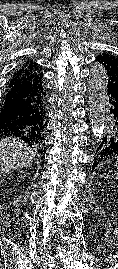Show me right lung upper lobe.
Wrapping results in <instances>:
<instances>
[{"label": "right lung upper lobe", "instance_id": "right-lung-upper-lobe-1", "mask_svg": "<svg viewBox=\"0 0 118 269\" xmlns=\"http://www.w3.org/2000/svg\"><path fill=\"white\" fill-rule=\"evenodd\" d=\"M43 76L37 63L27 62L21 69L17 70L9 82V86L37 87L39 92L34 100L36 104V125L43 129L46 106V90L42 83Z\"/></svg>", "mask_w": 118, "mask_h": 269}]
</instances>
